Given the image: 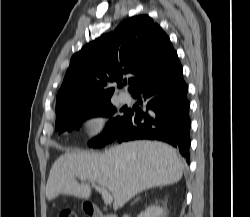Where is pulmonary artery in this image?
Here are the masks:
<instances>
[{"label": "pulmonary artery", "mask_w": 250, "mask_h": 217, "mask_svg": "<svg viewBox=\"0 0 250 217\" xmlns=\"http://www.w3.org/2000/svg\"><path fill=\"white\" fill-rule=\"evenodd\" d=\"M118 99L121 103H128L130 101V96L126 93H120Z\"/></svg>", "instance_id": "e3ab8cb5"}]
</instances>
